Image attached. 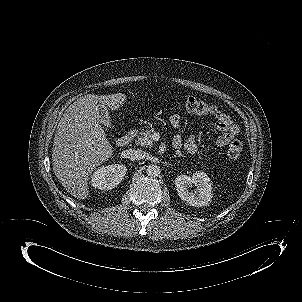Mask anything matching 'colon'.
Returning <instances> with one entry per match:
<instances>
[{
  "label": "colon",
  "mask_w": 302,
  "mask_h": 302,
  "mask_svg": "<svg viewBox=\"0 0 302 302\" xmlns=\"http://www.w3.org/2000/svg\"><path fill=\"white\" fill-rule=\"evenodd\" d=\"M185 106L187 110L194 112L198 115H215L218 109L215 105L208 104L195 97H189L186 100ZM242 143L239 140H232L229 145L230 155L237 158L242 151Z\"/></svg>",
  "instance_id": "1"
}]
</instances>
